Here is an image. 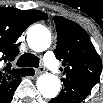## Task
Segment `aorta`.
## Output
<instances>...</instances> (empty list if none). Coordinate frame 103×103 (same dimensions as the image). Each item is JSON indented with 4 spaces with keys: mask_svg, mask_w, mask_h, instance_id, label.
<instances>
[{
    "mask_svg": "<svg viewBox=\"0 0 103 103\" xmlns=\"http://www.w3.org/2000/svg\"><path fill=\"white\" fill-rule=\"evenodd\" d=\"M27 42L32 50L36 52L45 51L51 44L50 31L41 24L32 25L27 31ZM36 85L44 98L52 99L60 92L59 78L50 73L40 75Z\"/></svg>",
    "mask_w": 103,
    "mask_h": 103,
    "instance_id": "aorta-1",
    "label": "aorta"
}]
</instances>
